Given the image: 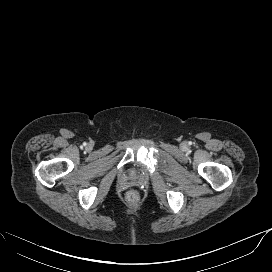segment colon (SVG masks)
<instances>
[{"mask_svg": "<svg viewBox=\"0 0 272 272\" xmlns=\"http://www.w3.org/2000/svg\"><path fill=\"white\" fill-rule=\"evenodd\" d=\"M126 198L131 203L137 202L139 199V193L135 190H130L126 195Z\"/></svg>", "mask_w": 272, "mask_h": 272, "instance_id": "1", "label": "colon"}]
</instances>
